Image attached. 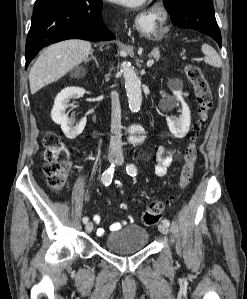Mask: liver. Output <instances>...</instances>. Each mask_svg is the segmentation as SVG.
I'll return each mask as SVG.
<instances>
[{
    "instance_id": "1",
    "label": "liver",
    "mask_w": 247,
    "mask_h": 299,
    "mask_svg": "<svg viewBox=\"0 0 247 299\" xmlns=\"http://www.w3.org/2000/svg\"><path fill=\"white\" fill-rule=\"evenodd\" d=\"M91 43L79 39H70L50 45L38 57L29 73L31 94L49 85L73 67L88 60Z\"/></svg>"
}]
</instances>
